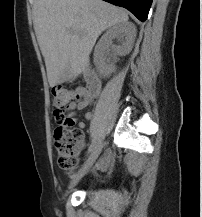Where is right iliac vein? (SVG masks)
<instances>
[{
  "mask_svg": "<svg viewBox=\"0 0 202 217\" xmlns=\"http://www.w3.org/2000/svg\"><path fill=\"white\" fill-rule=\"evenodd\" d=\"M103 145H104L103 141H100L95 146L94 150L88 157L83 167L73 176L69 185V189H72L81 180V178L90 170V168L93 166L98 156L100 155Z\"/></svg>",
  "mask_w": 202,
  "mask_h": 217,
  "instance_id": "obj_1",
  "label": "right iliac vein"
}]
</instances>
